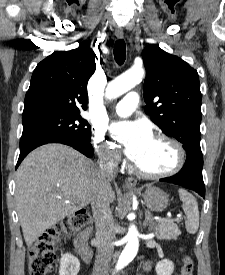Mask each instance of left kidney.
<instances>
[{
	"label": "left kidney",
	"instance_id": "left-kidney-1",
	"mask_svg": "<svg viewBox=\"0 0 225 275\" xmlns=\"http://www.w3.org/2000/svg\"><path fill=\"white\" fill-rule=\"evenodd\" d=\"M157 275H171L174 270V264L170 260H162L155 267Z\"/></svg>",
	"mask_w": 225,
	"mask_h": 275
}]
</instances>
